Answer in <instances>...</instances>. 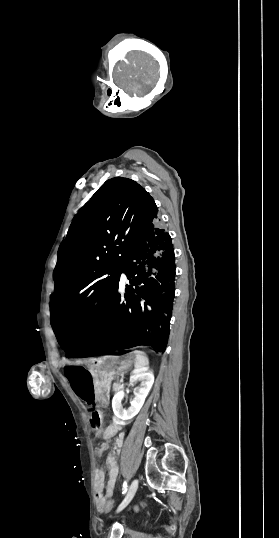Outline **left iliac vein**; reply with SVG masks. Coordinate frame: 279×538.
Masks as SVG:
<instances>
[{
	"label": "left iliac vein",
	"instance_id": "obj_1",
	"mask_svg": "<svg viewBox=\"0 0 279 538\" xmlns=\"http://www.w3.org/2000/svg\"><path fill=\"white\" fill-rule=\"evenodd\" d=\"M138 482H139L138 479H134L132 481V483H131V485L129 487L128 493H127L125 499L119 505V507L117 509V512H120L121 510H123L130 503V501L134 497V495L136 493V490L138 488Z\"/></svg>",
	"mask_w": 279,
	"mask_h": 538
}]
</instances>
